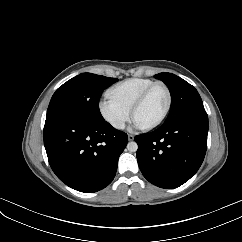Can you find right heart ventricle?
<instances>
[{
  "mask_svg": "<svg viewBox=\"0 0 242 242\" xmlns=\"http://www.w3.org/2000/svg\"><path fill=\"white\" fill-rule=\"evenodd\" d=\"M153 83L146 78H130L112 87L108 93L115 102L130 111L138 96Z\"/></svg>",
  "mask_w": 242,
  "mask_h": 242,
  "instance_id": "e07e8e85",
  "label": "right heart ventricle"
}]
</instances>
